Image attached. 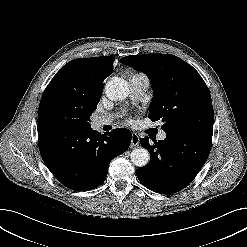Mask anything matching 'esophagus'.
I'll return each mask as SVG.
<instances>
[{"label":"esophagus","instance_id":"1","mask_svg":"<svg viewBox=\"0 0 247 247\" xmlns=\"http://www.w3.org/2000/svg\"><path fill=\"white\" fill-rule=\"evenodd\" d=\"M139 145V136L137 133L133 132L132 133V138H131V147H137Z\"/></svg>","mask_w":247,"mask_h":247}]
</instances>
